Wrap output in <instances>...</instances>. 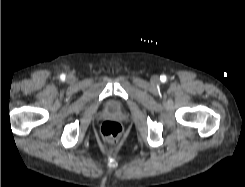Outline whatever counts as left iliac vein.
Segmentation results:
<instances>
[{"label": "left iliac vein", "instance_id": "4c4485c4", "mask_svg": "<svg viewBox=\"0 0 245 187\" xmlns=\"http://www.w3.org/2000/svg\"><path fill=\"white\" fill-rule=\"evenodd\" d=\"M159 81V77L158 76H153L152 77V82L153 83H157Z\"/></svg>", "mask_w": 245, "mask_h": 187}]
</instances>
